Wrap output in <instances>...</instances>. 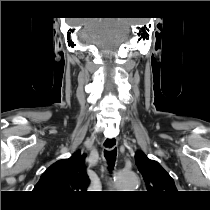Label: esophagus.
Returning a JSON list of instances; mask_svg holds the SVG:
<instances>
[{"instance_id": "34e87169", "label": "esophagus", "mask_w": 210, "mask_h": 210, "mask_svg": "<svg viewBox=\"0 0 210 210\" xmlns=\"http://www.w3.org/2000/svg\"><path fill=\"white\" fill-rule=\"evenodd\" d=\"M117 138L115 137H105L103 140V148L110 151L117 147Z\"/></svg>"}]
</instances>
